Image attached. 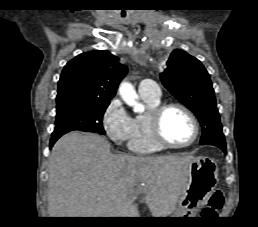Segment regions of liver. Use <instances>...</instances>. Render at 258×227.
Returning <instances> with one entry per match:
<instances>
[{"label": "liver", "instance_id": "1", "mask_svg": "<svg viewBox=\"0 0 258 227\" xmlns=\"http://www.w3.org/2000/svg\"><path fill=\"white\" fill-rule=\"evenodd\" d=\"M189 155L112 154L105 137L70 132L52 148L48 162L49 217H139L144 194L152 217L171 215L182 192Z\"/></svg>", "mask_w": 258, "mask_h": 227}]
</instances>
